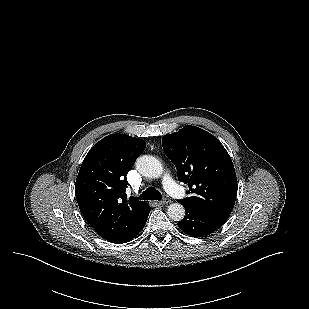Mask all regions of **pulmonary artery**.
Returning a JSON list of instances; mask_svg holds the SVG:
<instances>
[{"mask_svg": "<svg viewBox=\"0 0 309 309\" xmlns=\"http://www.w3.org/2000/svg\"><path fill=\"white\" fill-rule=\"evenodd\" d=\"M165 187L167 192L174 197L183 198L185 196L181 187L170 177L166 178Z\"/></svg>", "mask_w": 309, "mask_h": 309, "instance_id": "e3ab8cb5", "label": "pulmonary artery"}]
</instances>
